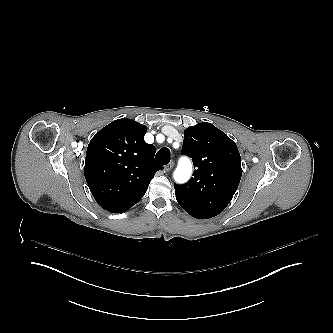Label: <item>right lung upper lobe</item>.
Listing matches in <instances>:
<instances>
[{
    "label": "right lung upper lobe",
    "mask_w": 333,
    "mask_h": 333,
    "mask_svg": "<svg viewBox=\"0 0 333 333\" xmlns=\"http://www.w3.org/2000/svg\"><path fill=\"white\" fill-rule=\"evenodd\" d=\"M146 126L118 119L102 128L90 141L85 178L92 195L110 209L128 194L145 191L163 166L154 159L155 147L144 141Z\"/></svg>",
    "instance_id": "cb5924a9"
}]
</instances>
